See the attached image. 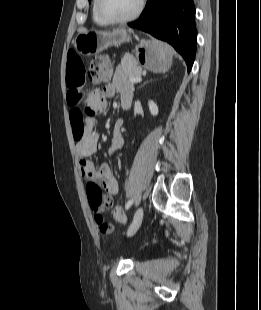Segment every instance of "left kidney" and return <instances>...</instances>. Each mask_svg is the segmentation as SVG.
Returning <instances> with one entry per match:
<instances>
[{
  "instance_id": "left-kidney-1",
  "label": "left kidney",
  "mask_w": 261,
  "mask_h": 310,
  "mask_svg": "<svg viewBox=\"0 0 261 310\" xmlns=\"http://www.w3.org/2000/svg\"><path fill=\"white\" fill-rule=\"evenodd\" d=\"M148 106H149L150 113L153 116H156L159 112L158 106L156 105V103L151 100L148 102Z\"/></svg>"
}]
</instances>
